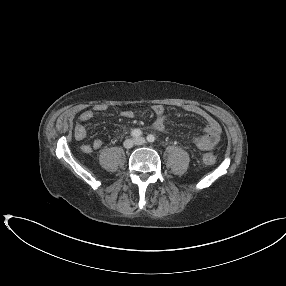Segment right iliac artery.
Returning a JSON list of instances; mask_svg holds the SVG:
<instances>
[{"label": "right iliac artery", "instance_id": "right-iliac-artery-1", "mask_svg": "<svg viewBox=\"0 0 286 286\" xmlns=\"http://www.w3.org/2000/svg\"><path fill=\"white\" fill-rule=\"evenodd\" d=\"M141 135H142V132L140 129H134L131 132V136L136 137V138L140 137Z\"/></svg>", "mask_w": 286, "mask_h": 286}]
</instances>
